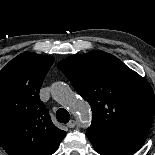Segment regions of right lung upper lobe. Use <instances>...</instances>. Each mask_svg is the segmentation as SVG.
<instances>
[{"label": "right lung upper lobe", "mask_w": 155, "mask_h": 155, "mask_svg": "<svg viewBox=\"0 0 155 155\" xmlns=\"http://www.w3.org/2000/svg\"><path fill=\"white\" fill-rule=\"evenodd\" d=\"M53 62L49 55L25 52L0 71V147L10 155H51L66 135L39 97Z\"/></svg>", "instance_id": "cb5924a9"}]
</instances>
